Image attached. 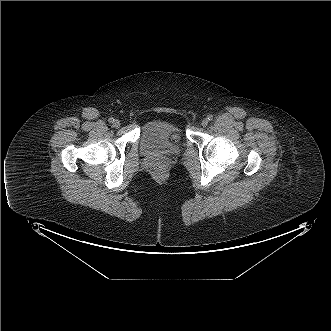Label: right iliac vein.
<instances>
[{"label":"right iliac vein","mask_w":331,"mask_h":331,"mask_svg":"<svg viewBox=\"0 0 331 331\" xmlns=\"http://www.w3.org/2000/svg\"><path fill=\"white\" fill-rule=\"evenodd\" d=\"M113 127H115V128L120 127V121L119 120H114Z\"/></svg>","instance_id":"63e3f726"}]
</instances>
